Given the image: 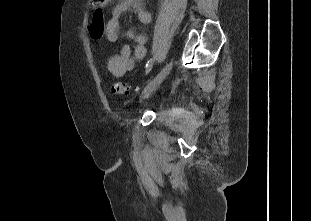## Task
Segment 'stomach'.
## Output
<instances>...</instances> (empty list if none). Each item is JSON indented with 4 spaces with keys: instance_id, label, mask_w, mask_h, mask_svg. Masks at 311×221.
<instances>
[{
    "instance_id": "0dacf381",
    "label": "stomach",
    "mask_w": 311,
    "mask_h": 221,
    "mask_svg": "<svg viewBox=\"0 0 311 221\" xmlns=\"http://www.w3.org/2000/svg\"><path fill=\"white\" fill-rule=\"evenodd\" d=\"M98 4H100V6H103V4H106V2H108V0H97Z\"/></svg>"
}]
</instances>
